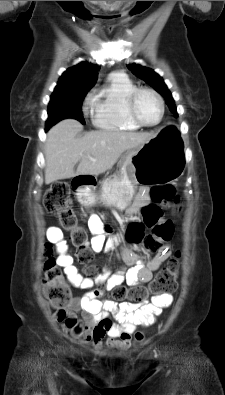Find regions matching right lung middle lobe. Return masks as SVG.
<instances>
[{
  "mask_svg": "<svg viewBox=\"0 0 225 395\" xmlns=\"http://www.w3.org/2000/svg\"><path fill=\"white\" fill-rule=\"evenodd\" d=\"M88 91V89H55L48 105L46 130L66 118H74L85 124L82 114V102Z\"/></svg>",
  "mask_w": 225,
  "mask_h": 395,
  "instance_id": "right-lung-middle-lobe-1",
  "label": "right lung middle lobe"
}]
</instances>
